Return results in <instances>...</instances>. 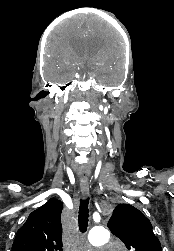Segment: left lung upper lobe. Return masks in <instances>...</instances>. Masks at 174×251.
<instances>
[{
    "instance_id": "1",
    "label": "left lung upper lobe",
    "mask_w": 174,
    "mask_h": 251,
    "mask_svg": "<svg viewBox=\"0 0 174 251\" xmlns=\"http://www.w3.org/2000/svg\"><path fill=\"white\" fill-rule=\"evenodd\" d=\"M108 227L131 251H162L150 221L129 204L115 208Z\"/></svg>"
}]
</instances>
